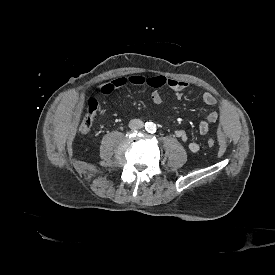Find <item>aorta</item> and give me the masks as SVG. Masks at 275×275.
Segmentation results:
<instances>
[{
    "label": "aorta",
    "mask_w": 275,
    "mask_h": 275,
    "mask_svg": "<svg viewBox=\"0 0 275 275\" xmlns=\"http://www.w3.org/2000/svg\"><path fill=\"white\" fill-rule=\"evenodd\" d=\"M148 132L153 133L156 131V125L152 122H150L147 126Z\"/></svg>",
    "instance_id": "aorta-1"
}]
</instances>
